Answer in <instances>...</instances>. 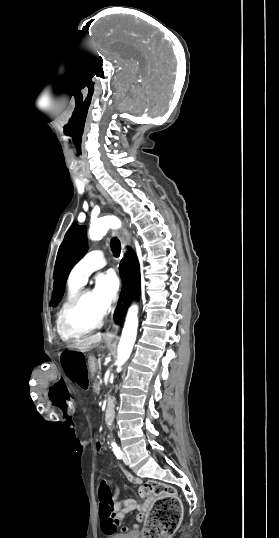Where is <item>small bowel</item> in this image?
I'll use <instances>...</instances> for the list:
<instances>
[{
    "label": "small bowel",
    "mask_w": 279,
    "mask_h": 538,
    "mask_svg": "<svg viewBox=\"0 0 279 538\" xmlns=\"http://www.w3.org/2000/svg\"><path fill=\"white\" fill-rule=\"evenodd\" d=\"M120 471L124 474L128 482L134 486H141L142 481L138 477H134L129 471L126 469L118 466ZM119 493V488L115 486L114 489V500L116 499L117 495ZM141 496L144 497V490L143 488H140ZM149 506L148 500H143L140 503H137L134 499H127V500H120L115 501V508L117 509L116 514L111 518H103L102 520V530L105 534L113 533L117 530L119 526H121L122 522L125 520L128 513L131 511L136 510V520L138 522L142 521L145 517L146 511ZM138 524L133 525V529H137ZM129 531V528L126 526H121V532L125 533Z\"/></svg>",
    "instance_id": "obj_1"
}]
</instances>
